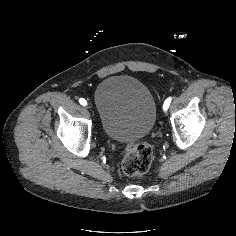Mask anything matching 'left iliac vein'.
<instances>
[{"label":"left iliac vein","instance_id":"4c4485c4","mask_svg":"<svg viewBox=\"0 0 236 236\" xmlns=\"http://www.w3.org/2000/svg\"><path fill=\"white\" fill-rule=\"evenodd\" d=\"M161 113H162V115H163L164 118H167L169 111H168L167 108H164Z\"/></svg>","mask_w":236,"mask_h":236}]
</instances>
